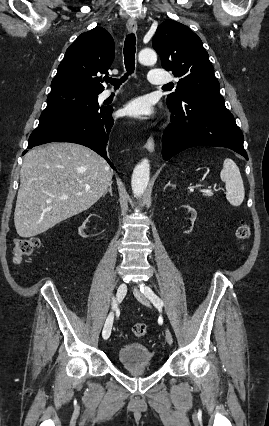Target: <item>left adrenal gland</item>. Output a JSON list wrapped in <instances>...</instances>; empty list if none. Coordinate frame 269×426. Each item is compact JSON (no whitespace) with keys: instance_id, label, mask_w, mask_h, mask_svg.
<instances>
[{"instance_id":"1","label":"left adrenal gland","mask_w":269,"mask_h":426,"mask_svg":"<svg viewBox=\"0 0 269 426\" xmlns=\"http://www.w3.org/2000/svg\"><path fill=\"white\" fill-rule=\"evenodd\" d=\"M168 186H171V187H173V188L175 187V185L171 184V182L169 181V182L165 185L164 190H165Z\"/></svg>"}]
</instances>
